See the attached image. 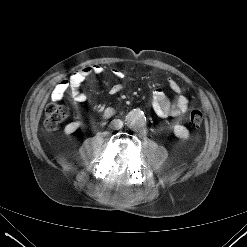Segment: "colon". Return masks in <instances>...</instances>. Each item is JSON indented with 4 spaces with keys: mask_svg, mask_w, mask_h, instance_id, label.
<instances>
[{
    "mask_svg": "<svg viewBox=\"0 0 247 247\" xmlns=\"http://www.w3.org/2000/svg\"><path fill=\"white\" fill-rule=\"evenodd\" d=\"M69 110L67 107L56 102H50L45 107L44 126L48 131H55L59 125L68 116ZM189 123L192 128H199L204 120L203 112L199 109H194L189 113Z\"/></svg>",
    "mask_w": 247,
    "mask_h": 247,
    "instance_id": "1",
    "label": "colon"
}]
</instances>
